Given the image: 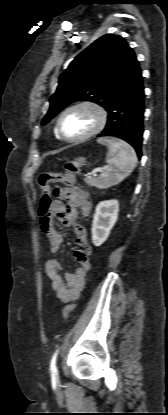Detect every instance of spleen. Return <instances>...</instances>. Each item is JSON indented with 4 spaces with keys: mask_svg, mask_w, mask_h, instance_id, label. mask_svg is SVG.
Instances as JSON below:
<instances>
[{
    "mask_svg": "<svg viewBox=\"0 0 168 415\" xmlns=\"http://www.w3.org/2000/svg\"><path fill=\"white\" fill-rule=\"evenodd\" d=\"M97 142L108 148V166L97 180L98 187L106 189L120 183L132 173L137 164V156L133 147L121 139L104 137Z\"/></svg>",
    "mask_w": 168,
    "mask_h": 415,
    "instance_id": "spleen-1",
    "label": "spleen"
}]
</instances>
